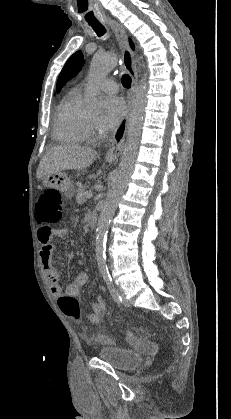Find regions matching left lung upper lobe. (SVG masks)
I'll return each instance as SVG.
<instances>
[{"label": "left lung upper lobe", "mask_w": 231, "mask_h": 419, "mask_svg": "<svg viewBox=\"0 0 231 419\" xmlns=\"http://www.w3.org/2000/svg\"><path fill=\"white\" fill-rule=\"evenodd\" d=\"M83 65V54L81 51L74 53L64 65L58 81H57V91L59 92L63 85L76 75V73L81 69Z\"/></svg>", "instance_id": "left-lung-upper-lobe-1"}]
</instances>
